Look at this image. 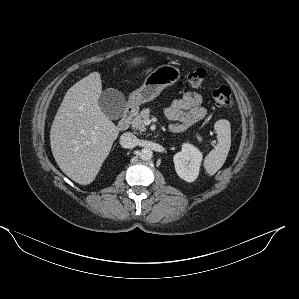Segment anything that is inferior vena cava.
I'll return each mask as SVG.
<instances>
[{"mask_svg":"<svg viewBox=\"0 0 299 299\" xmlns=\"http://www.w3.org/2000/svg\"><path fill=\"white\" fill-rule=\"evenodd\" d=\"M137 141L138 139L133 133L126 132L120 136L119 142L121 146L124 148H133L137 145Z\"/></svg>","mask_w":299,"mask_h":299,"instance_id":"inferior-vena-cava-1","label":"inferior vena cava"}]
</instances>
